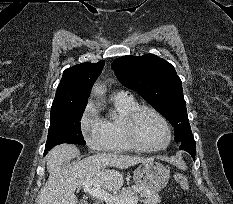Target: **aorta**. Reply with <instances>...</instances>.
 Returning a JSON list of instances; mask_svg holds the SVG:
<instances>
[{
    "mask_svg": "<svg viewBox=\"0 0 233 204\" xmlns=\"http://www.w3.org/2000/svg\"><path fill=\"white\" fill-rule=\"evenodd\" d=\"M104 90L102 89V87H94L93 88V93L95 94V96L101 95L103 94Z\"/></svg>",
    "mask_w": 233,
    "mask_h": 204,
    "instance_id": "aorta-1",
    "label": "aorta"
}]
</instances>
